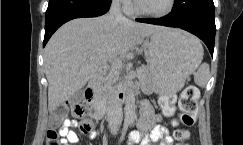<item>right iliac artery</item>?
I'll return each mask as SVG.
<instances>
[{"mask_svg":"<svg viewBox=\"0 0 243 145\" xmlns=\"http://www.w3.org/2000/svg\"><path fill=\"white\" fill-rule=\"evenodd\" d=\"M127 128H128V124H124V127H123V130H122V133H121V136H120V139H119V142H122L123 139H124V136L126 134V131H127Z\"/></svg>","mask_w":243,"mask_h":145,"instance_id":"1","label":"right iliac artery"}]
</instances>
